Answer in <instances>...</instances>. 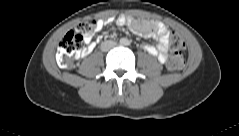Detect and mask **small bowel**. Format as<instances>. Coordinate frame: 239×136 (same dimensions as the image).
<instances>
[{
  "mask_svg": "<svg viewBox=\"0 0 239 136\" xmlns=\"http://www.w3.org/2000/svg\"><path fill=\"white\" fill-rule=\"evenodd\" d=\"M110 22L111 20H99L97 30L103 29V27ZM116 24L118 26L127 25L130 31L134 34L147 38L157 39L159 42L158 46L145 45L144 49L152 56L157 57V59L161 63H165L167 61L170 31L163 23L139 20L122 15L116 20ZM84 43L86 44V47L83 49L81 54L83 57L91 53L96 45L95 42L92 41V38L90 36L84 37Z\"/></svg>",
  "mask_w": 239,
  "mask_h": 136,
  "instance_id": "small-bowel-1",
  "label": "small bowel"
}]
</instances>
